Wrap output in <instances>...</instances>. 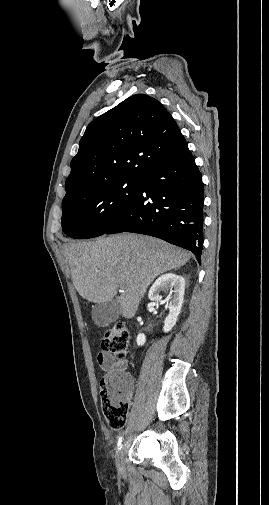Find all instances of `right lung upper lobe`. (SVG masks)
I'll return each mask as SVG.
<instances>
[{"label":"right lung upper lobe","instance_id":"cb5924a9","mask_svg":"<svg viewBox=\"0 0 269 505\" xmlns=\"http://www.w3.org/2000/svg\"><path fill=\"white\" fill-rule=\"evenodd\" d=\"M187 146L175 120L156 99L136 94L92 121L71 161L66 200L91 187L139 179Z\"/></svg>","mask_w":269,"mask_h":505}]
</instances>
